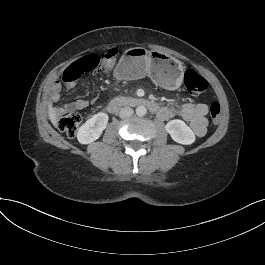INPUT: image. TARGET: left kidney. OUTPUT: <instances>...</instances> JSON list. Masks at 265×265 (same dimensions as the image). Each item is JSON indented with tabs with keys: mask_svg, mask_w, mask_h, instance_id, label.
I'll return each mask as SVG.
<instances>
[{
	"mask_svg": "<svg viewBox=\"0 0 265 265\" xmlns=\"http://www.w3.org/2000/svg\"><path fill=\"white\" fill-rule=\"evenodd\" d=\"M171 138L180 144L189 145L195 141V135L191 128L182 120H171L165 126Z\"/></svg>",
	"mask_w": 265,
	"mask_h": 265,
	"instance_id": "5707ae66",
	"label": "left kidney"
}]
</instances>
